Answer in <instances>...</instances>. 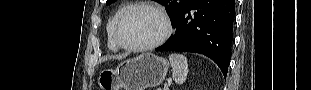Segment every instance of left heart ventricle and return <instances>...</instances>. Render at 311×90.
Returning <instances> with one entry per match:
<instances>
[{
  "instance_id": "1",
  "label": "left heart ventricle",
  "mask_w": 311,
  "mask_h": 90,
  "mask_svg": "<svg viewBox=\"0 0 311 90\" xmlns=\"http://www.w3.org/2000/svg\"><path fill=\"white\" fill-rule=\"evenodd\" d=\"M163 29L162 19L157 13L148 9H138L122 23L120 37L128 45H146L157 40Z\"/></svg>"
}]
</instances>
